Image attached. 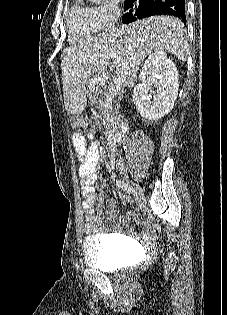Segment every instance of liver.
I'll list each match as a JSON object with an SVG mask.
<instances>
[{
	"label": "liver",
	"mask_w": 227,
	"mask_h": 315,
	"mask_svg": "<svg viewBox=\"0 0 227 315\" xmlns=\"http://www.w3.org/2000/svg\"><path fill=\"white\" fill-rule=\"evenodd\" d=\"M185 32L179 19L153 16L66 48L61 56L66 111L73 115L84 111L88 84H97L96 78L105 83L113 68L125 73L126 85L132 88L141 62L155 51H167L185 62L189 55Z\"/></svg>",
	"instance_id": "obj_1"
}]
</instances>
